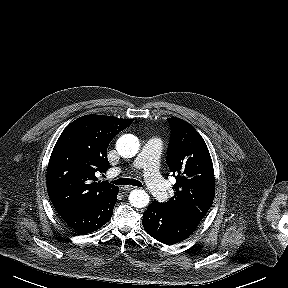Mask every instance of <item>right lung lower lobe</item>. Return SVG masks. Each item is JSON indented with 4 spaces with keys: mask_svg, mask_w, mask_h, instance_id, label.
I'll list each match as a JSON object with an SVG mask.
<instances>
[{
    "mask_svg": "<svg viewBox=\"0 0 288 288\" xmlns=\"http://www.w3.org/2000/svg\"><path fill=\"white\" fill-rule=\"evenodd\" d=\"M118 190L92 206L60 214L62 219L80 234L94 232L111 218Z\"/></svg>",
    "mask_w": 288,
    "mask_h": 288,
    "instance_id": "98d812e1",
    "label": "right lung lower lobe"
}]
</instances>
